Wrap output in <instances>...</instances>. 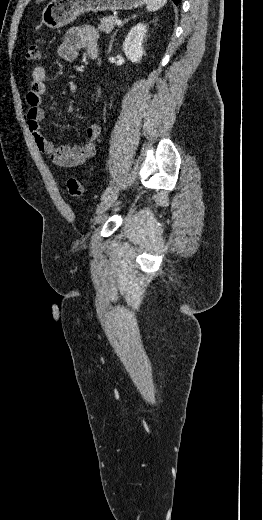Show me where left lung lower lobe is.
Wrapping results in <instances>:
<instances>
[{"label": "left lung lower lobe", "mask_w": 263, "mask_h": 520, "mask_svg": "<svg viewBox=\"0 0 263 520\" xmlns=\"http://www.w3.org/2000/svg\"><path fill=\"white\" fill-rule=\"evenodd\" d=\"M173 1L177 5L178 3H180L181 0H173Z\"/></svg>", "instance_id": "0a47b994"}]
</instances>
